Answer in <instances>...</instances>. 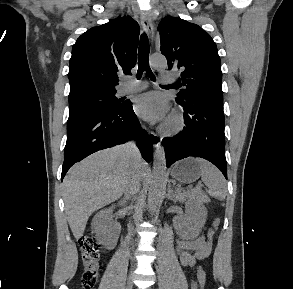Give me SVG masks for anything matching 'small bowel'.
<instances>
[{
    "label": "small bowel",
    "instance_id": "small-bowel-1",
    "mask_svg": "<svg viewBox=\"0 0 293 289\" xmlns=\"http://www.w3.org/2000/svg\"><path fill=\"white\" fill-rule=\"evenodd\" d=\"M213 230L209 229L206 233L194 239H177L176 254L180 263L185 267L195 268L197 273L203 270L196 266L198 261L206 259L212 250Z\"/></svg>",
    "mask_w": 293,
    "mask_h": 289
}]
</instances>
